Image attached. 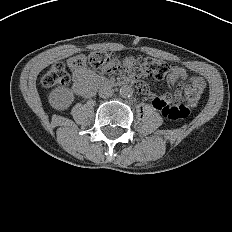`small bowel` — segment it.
<instances>
[{
	"label": "small bowel",
	"instance_id": "c3829d8e",
	"mask_svg": "<svg viewBox=\"0 0 232 232\" xmlns=\"http://www.w3.org/2000/svg\"><path fill=\"white\" fill-rule=\"evenodd\" d=\"M78 57V56H77ZM69 68L73 74V84L72 91L78 95L85 96V90L89 83L94 79V73L85 68L84 65H80L76 62V57L70 59L68 61ZM126 71L128 75L132 78L139 76L141 74V67L136 60L132 58H125L121 61L120 66L115 68V75L117 77H124L126 75ZM189 80L191 85L200 87L202 90L205 87V81L203 78L199 76L188 77L187 71L185 68L180 66H175L171 69V72L168 76V81L170 83H176L178 81ZM136 81V80H135ZM139 91L147 95L148 99L151 101L153 106L162 112L163 105L157 104L158 98L155 97L146 87L143 82L136 81Z\"/></svg>",
	"mask_w": 232,
	"mask_h": 232
}]
</instances>
